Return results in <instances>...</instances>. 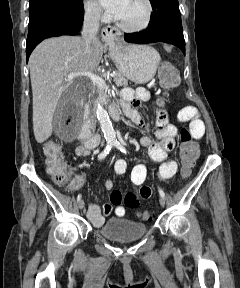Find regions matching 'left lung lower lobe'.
Instances as JSON below:
<instances>
[{
    "label": "left lung lower lobe",
    "mask_w": 240,
    "mask_h": 288,
    "mask_svg": "<svg viewBox=\"0 0 240 288\" xmlns=\"http://www.w3.org/2000/svg\"><path fill=\"white\" fill-rule=\"evenodd\" d=\"M124 39L127 42L138 44L154 42L171 43L179 47L185 54L181 16L172 13H164L152 18L146 30L125 34Z\"/></svg>",
    "instance_id": "obj_1"
}]
</instances>
